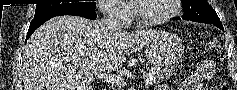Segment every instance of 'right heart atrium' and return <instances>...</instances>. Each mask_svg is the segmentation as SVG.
Segmentation results:
<instances>
[{"label":"right heart atrium","mask_w":237,"mask_h":90,"mask_svg":"<svg viewBox=\"0 0 237 90\" xmlns=\"http://www.w3.org/2000/svg\"><path fill=\"white\" fill-rule=\"evenodd\" d=\"M101 12L110 20H129L128 10L121 5V0H97Z\"/></svg>","instance_id":"d8ad5b80"}]
</instances>
